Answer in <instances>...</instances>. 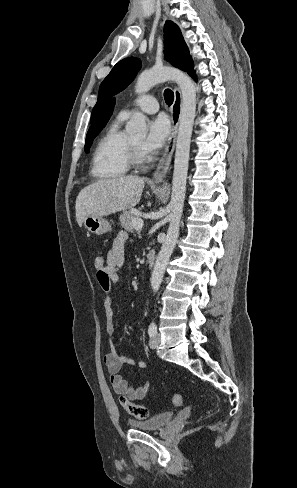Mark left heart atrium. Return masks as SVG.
I'll list each match as a JSON object with an SVG mask.
<instances>
[{
  "label": "left heart atrium",
  "instance_id": "obj_1",
  "mask_svg": "<svg viewBox=\"0 0 297 488\" xmlns=\"http://www.w3.org/2000/svg\"><path fill=\"white\" fill-rule=\"evenodd\" d=\"M170 131V123L164 115L155 117L149 124L147 137L142 144L143 154H150L162 148Z\"/></svg>",
  "mask_w": 297,
  "mask_h": 488
}]
</instances>
